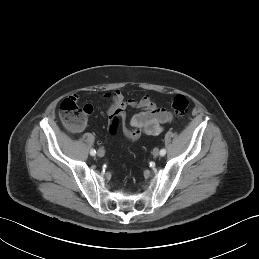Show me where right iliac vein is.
<instances>
[{
    "label": "right iliac vein",
    "mask_w": 259,
    "mask_h": 259,
    "mask_svg": "<svg viewBox=\"0 0 259 259\" xmlns=\"http://www.w3.org/2000/svg\"><path fill=\"white\" fill-rule=\"evenodd\" d=\"M104 154H105V152H104V150H102V149H99V150L97 151V155H98L99 157H103Z\"/></svg>",
    "instance_id": "1"
}]
</instances>
